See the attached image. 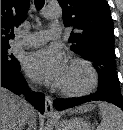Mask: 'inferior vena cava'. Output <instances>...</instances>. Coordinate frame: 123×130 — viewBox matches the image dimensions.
Here are the masks:
<instances>
[{"label":"inferior vena cava","instance_id":"obj_1","mask_svg":"<svg viewBox=\"0 0 123 130\" xmlns=\"http://www.w3.org/2000/svg\"><path fill=\"white\" fill-rule=\"evenodd\" d=\"M30 109H31V107H30V105H28V107H27V109H26V111H25V114H24L26 123H27L28 120H29Z\"/></svg>","mask_w":123,"mask_h":130}]
</instances>
